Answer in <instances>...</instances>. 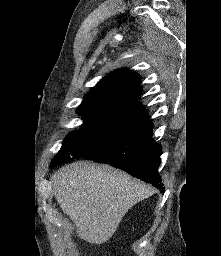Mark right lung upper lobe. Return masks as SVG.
I'll list each match as a JSON object with an SVG mask.
<instances>
[{
    "label": "right lung upper lobe",
    "instance_id": "1",
    "mask_svg": "<svg viewBox=\"0 0 221 256\" xmlns=\"http://www.w3.org/2000/svg\"><path fill=\"white\" fill-rule=\"evenodd\" d=\"M140 77L133 71L119 69L104 77L85 96L81 110L115 109L128 113L131 116H145L148 121V113L141 103L135 99L140 95L141 88L138 86Z\"/></svg>",
    "mask_w": 221,
    "mask_h": 256
}]
</instances>
